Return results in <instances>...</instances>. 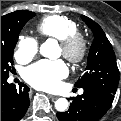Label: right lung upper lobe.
I'll use <instances>...</instances> for the list:
<instances>
[{
  "label": "right lung upper lobe",
  "mask_w": 121,
  "mask_h": 121,
  "mask_svg": "<svg viewBox=\"0 0 121 121\" xmlns=\"http://www.w3.org/2000/svg\"><path fill=\"white\" fill-rule=\"evenodd\" d=\"M28 11L25 10H20V11H15L12 13H9L7 15H4L1 17V26L8 24L10 21L15 20L17 18H20L24 14H26ZM31 12V11H30Z\"/></svg>",
  "instance_id": "cb5924a9"
}]
</instances>
